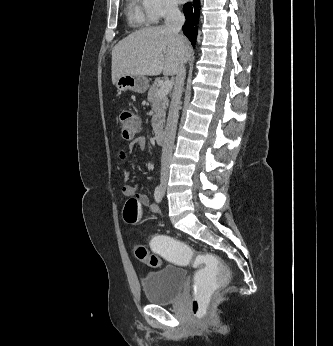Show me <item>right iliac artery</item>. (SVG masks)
<instances>
[{
	"instance_id": "right-iliac-artery-1",
	"label": "right iliac artery",
	"mask_w": 333,
	"mask_h": 346,
	"mask_svg": "<svg viewBox=\"0 0 333 346\" xmlns=\"http://www.w3.org/2000/svg\"><path fill=\"white\" fill-rule=\"evenodd\" d=\"M154 197H155V200H156L157 203H160V202L162 201V198H163V189H162L161 185H158V186L155 188Z\"/></svg>"
}]
</instances>
